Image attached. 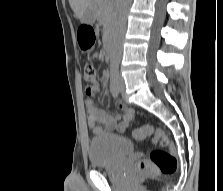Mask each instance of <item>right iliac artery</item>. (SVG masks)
Wrapping results in <instances>:
<instances>
[{"label":"right iliac artery","mask_w":223,"mask_h":191,"mask_svg":"<svg viewBox=\"0 0 223 191\" xmlns=\"http://www.w3.org/2000/svg\"><path fill=\"white\" fill-rule=\"evenodd\" d=\"M110 91L115 98L119 95L120 92L117 81V67H111L110 70Z\"/></svg>","instance_id":"1"}]
</instances>
